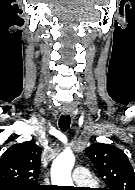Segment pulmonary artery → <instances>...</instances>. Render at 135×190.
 Segmentation results:
<instances>
[{
  "label": "pulmonary artery",
  "instance_id": "pulmonary-artery-1",
  "mask_svg": "<svg viewBox=\"0 0 135 190\" xmlns=\"http://www.w3.org/2000/svg\"><path fill=\"white\" fill-rule=\"evenodd\" d=\"M73 180L80 186H86L92 184V178L88 170L84 167H77L73 171Z\"/></svg>",
  "mask_w": 135,
  "mask_h": 190
}]
</instances>
